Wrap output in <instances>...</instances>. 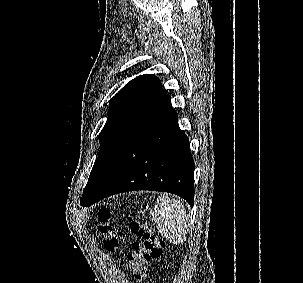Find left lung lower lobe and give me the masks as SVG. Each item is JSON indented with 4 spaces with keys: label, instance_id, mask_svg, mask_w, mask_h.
I'll list each match as a JSON object with an SVG mask.
<instances>
[{
    "label": "left lung lower lobe",
    "instance_id": "left-lung-lower-lobe-1",
    "mask_svg": "<svg viewBox=\"0 0 303 283\" xmlns=\"http://www.w3.org/2000/svg\"><path fill=\"white\" fill-rule=\"evenodd\" d=\"M194 161L189 139L178 126L170 96L162 89L127 142L109 176L82 206L132 190L170 192L194 204Z\"/></svg>",
    "mask_w": 303,
    "mask_h": 283
}]
</instances>
